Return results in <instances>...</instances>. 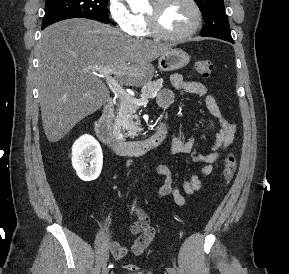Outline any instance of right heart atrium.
I'll list each match as a JSON object with an SVG mask.
<instances>
[{
  "mask_svg": "<svg viewBox=\"0 0 289 274\" xmlns=\"http://www.w3.org/2000/svg\"><path fill=\"white\" fill-rule=\"evenodd\" d=\"M108 10L116 26L124 33L135 35L137 21L124 0H109Z\"/></svg>",
  "mask_w": 289,
  "mask_h": 274,
  "instance_id": "obj_1",
  "label": "right heart atrium"
}]
</instances>
